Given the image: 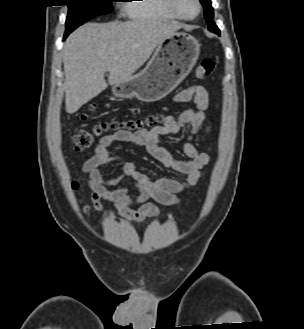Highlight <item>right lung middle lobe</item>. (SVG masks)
Listing matches in <instances>:
<instances>
[{"mask_svg": "<svg viewBox=\"0 0 304 329\" xmlns=\"http://www.w3.org/2000/svg\"><path fill=\"white\" fill-rule=\"evenodd\" d=\"M69 2L65 37L86 21L112 12L114 0H67Z\"/></svg>", "mask_w": 304, "mask_h": 329, "instance_id": "obj_1", "label": "right lung middle lobe"}]
</instances>
